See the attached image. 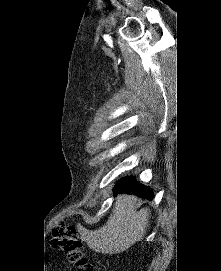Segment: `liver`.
Masks as SVG:
<instances>
[{
    "instance_id": "1",
    "label": "liver",
    "mask_w": 221,
    "mask_h": 271,
    "mask_svg": "<svg viewBox=\"0 0 221 271\" xmlns=\"http://www.w3.org/2000/svg\"><path fill=\"white\" fill-rule=\"evenodd\" d=\"M136 195H118L105 225L98 229H79L82 241L100 253H121L143 239L149 225L150 211H137Z\"/></svg>"
}]
</instances>
